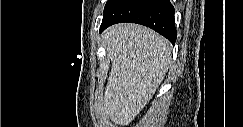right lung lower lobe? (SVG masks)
<instances>
[{
  "label": "right lung lower lobe",
  "mask_w": 243,
  "mask_h": 127,
  "mask_svg": "<svg viewBox=\"0 0 243 127\" xmlns=\"http://www.w3.org/2000/svg\"><path fill=\"white\" fill-rule=\"evenodd\" d=\"M174 12L169 0H113L104 8L100 32L120 22L138 23L152 28L175 44Z\"/></svg>",
  "instance_id": "obj_1"
}]
</instances>
